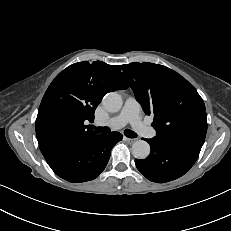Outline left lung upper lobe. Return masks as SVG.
<instances>
[{"label":"left lung upper lobe","instance_id":"5c2ea615","mask_svg":"<svg viewBox=\"0 0 231 231\" xmlns=\"http://www.w3.org/2000/svg\"><path fill=\"white\" fill-rule=\"evenodd\" d=\"M121 75L132 88L145 114L154 115L158 138H188L204 142L205 105L196 89L180 74L153 63L121 65Z\"/></svg>","mask_w":231,"mask_h":231}]
</instances>
